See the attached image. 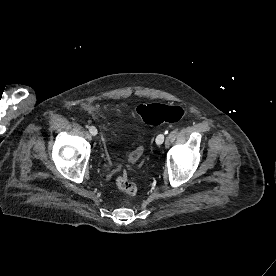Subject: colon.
<instances>
[{"label": "colon", "mask_w": 276, "mask_h": 276, "mask_svg": "<svg viewBox=\"0 0 276 276\" xmlns=\"http://www.w3.org/2000/svg\"><path fill=\"white\" fill-rule=\"evenodd\" d=\"M136 113L140 119L148 125H159L165 122L174 123L185 115V109L179 105H168L161 103L140 104L136 108ZM141 150L133 152L134 157H138ZM117 187L126 195L133 197L137 194V185L125 174L116 178Z\"/></svg>", "instance_id": "5ec220e1"}]
</instances>
